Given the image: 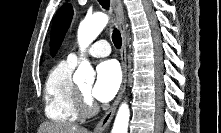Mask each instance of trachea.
I'll return each mask as SVG.
<instances>
[{
	"mask_svg": "<svg viewBox=\"0 0 221 133\" xmlns=\"http://www.w3.org/2000/svg\"><path fill=\"white\" fill-rule=\"evenodd\" d=\"M99 3L104 9H109L110 1L109 0H99ZM112 41L117 49L121 48L122 38L120 32L115 28L112 33Z\"/></svg>",
	"mask_w": 221,
	"mask_h": 133,
	"instance_id": "1",
	"label": "trachea"
}]
</instances>
